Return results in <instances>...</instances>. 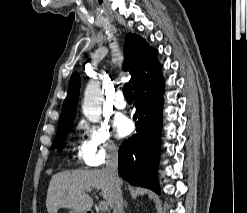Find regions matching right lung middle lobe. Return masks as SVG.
I'll return each mask as SVG.
<instances>
[{
  "label": "right lung middle lobe",
  "instance_id": "dd1d6c3e",
  "mask_svg": "<svg viewBox=\"0 0 247 213\" xmlns=\"http://www.w3.org/2000/svg\"><path fill=\"white\" fill-rule=\"evenodd\" d=\"M72 125L58 127L57 135L53 143V148L62 150L66 136L68 135Z\"/></svg>",
  "mask_w": 247,
  "mask_h": 213
}]
</instances>
